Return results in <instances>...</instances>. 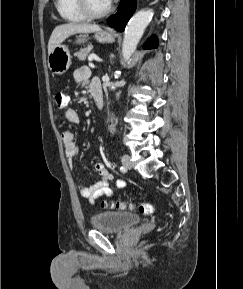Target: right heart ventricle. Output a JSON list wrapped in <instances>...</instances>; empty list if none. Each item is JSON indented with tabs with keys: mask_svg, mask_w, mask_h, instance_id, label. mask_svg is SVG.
<instances>
[{
	"mask_svg": "<svg viewBox=\"0 0 243 289\" xmlns=\"http://www.w3.org/2000/svg\"><path fill=\"white\" fill-rule=\"evenodd\" d=\"M56 9L59 15L69 22H82L86 17L78 8L76 0H56Z\"/></svg>",
	"mask_w": 243,
	"mask_h": 289,
	"instance_id": "right-heart-ventricle-1",
	"label": "right heart ventricle"
}]
</instances>
